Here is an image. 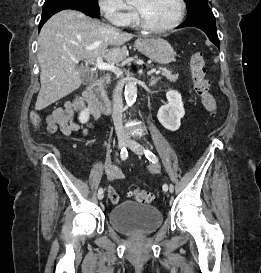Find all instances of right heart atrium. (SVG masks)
<instances>
[{"label": "right heart atrium", "mask_w": 261, "mask_h": 273, "mask_svg": "<svg viewBox=\"0 0 261 273\" xmlns=\"http://www.w3.org/2000/svg\"><path fill=\"white\" fill-rule=\"evenodd\" d=\"M99 7L106 20L118 27L130 24L134 12L124 0H99Z\"/></svg>", "instance_id": "right-heart-atrium-1"}]
</instances>
